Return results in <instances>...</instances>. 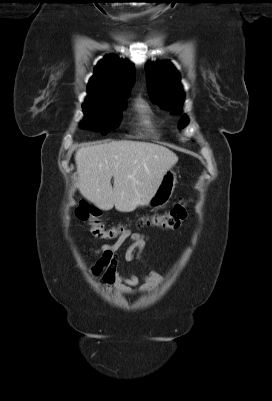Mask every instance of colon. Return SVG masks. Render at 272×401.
Returning a JSON list of instances; mask_svg holds the SVG:
<instances>
[{
  "label": "colon",
  "instance_id": "5ec220e1",
  "mask_svg": "<svg viewBox=\"0 0 272 401\" xmlns=\"http://www.w3.org/2000/svg\"><path fill=\"white\" fill-rule=\"evenodd\" d=\"M77 216L91 229V233L97 239L109 240L121 235L124 231L122 226L107 228L104 225L102 212L87 202H81L77 209ZM187 217V203L180 202L172 209L153 214L138 222L139 227L158 226L167 229L179 228Z\"/></svg>",
  "mask_w": 272,
  "mask_h": 401
}]
</instances>
